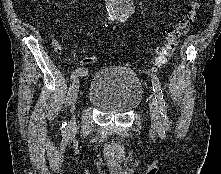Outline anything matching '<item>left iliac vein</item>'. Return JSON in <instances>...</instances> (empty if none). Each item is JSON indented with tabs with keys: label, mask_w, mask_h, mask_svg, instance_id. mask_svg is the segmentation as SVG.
<instances>
[{
	"label": "left iliac vein",
	"mask_w": 221,
	"mask_h": 174,
	"mask_svg": "<svg viewBox=\"0 0 221 174\" xmlns=\"http://www.w3.org/2000/svg\"><path fill=\"white\" fill-rule=\"evenodd\" d=\"M150 118H151V127L153 130H158L161 127V117L158 109V105L153 95H150Z\"/></svg>",
	"instance_id": "4c4485c4"
}]
</instances>
